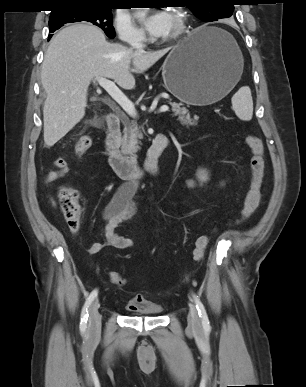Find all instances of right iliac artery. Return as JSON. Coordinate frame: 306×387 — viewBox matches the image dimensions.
I'll return each mask as SVG.
<instances>
[{
    "instance_id": "right-iliac-artery-1",
    "label": "right iliac artery",
    "mask_w": 306,
    "mask_h": 387,
    "mask_svg": "<svg viewBox=\"0 0 306 387\" xmlns=\"http://www.w3.org/2000/svg\"><path fill=\"white\" fill-rule=\"evenodd\" d=\"M98 290L95 289L93 290L89 297L86 299V302L83 306L82 312H81V321H80V329L85 330L87 326V320H88V308L91 305L92 301L95 299L97 296Z\"/></svg>"
}]
</instances>
